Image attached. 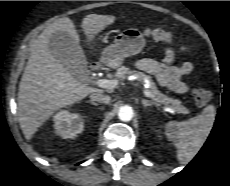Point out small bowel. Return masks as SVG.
Masks as SVG:
<instances>
[{"instance_id": "obj_1", "label": "small bowel", "mask_w": 230, "mask_h": 186, "mask_svg": "<svg viewBox=\"0 0 230 186\" xmlns=\"http://www.w3.org/2000/svg\"><path fill=\"white\" fill-rule=\"evenodd\" d=\"M182 49L187 50V47ZM137 67L147 73L154 75L158 84L166 86L177 93H184L188 90V85L182 77L193 71L191 62H184L180 66L174 65V52L167 47L161 62L151 59H142L137 62Z\"/></svg>"}]
</instances>
